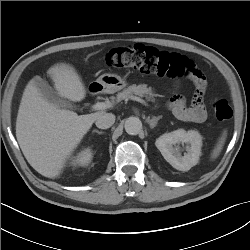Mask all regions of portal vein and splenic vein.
I'll list each match as a JSON object with an SVG mask.
<instances>
[{"label":"portal vein and splenic vein","mask_w":250,"mask_h":250,"mask_svg":"<svg viewBox=\"0 0 250 250\" xmlns=\"http://www.w3.org/2000/svg\"><path fill=\"white\" fill-rule=\"evenodd\" d=\"M128 98L131 99V100L140 102V103H142V104L145 105V106H148V104L146 103V101L143 100V99L140 98V97H137V96H129ZM111 107H113V103L110 102V101H107V102H98V103L94 104V105L92 106V109H93V110H103V109H107V108H111Z\"/></svg>","instance_id":"portal-vein-and-splenic-vein-1"}]
</instances>
